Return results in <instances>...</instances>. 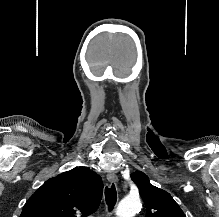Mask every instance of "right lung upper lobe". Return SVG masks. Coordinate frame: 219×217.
I'll list each match as a JSON object with an SVG mask.
<instances>
[{
	"label": "right lung upper lobe",
	"mask_w": 219,
	"mask_h": 217,
	"mask_svg": "<svg viewBox=\"0 0 219 217\" xmlns=\"http://www.w3.org/2000/svg\"><path fill=\"white\" fill-rule=\"evenodd\" d=\"M101 177L88 168H74L47 180L28 199L20 217H87L100 204Z\"/></svg>",
	"instance_id": "1"
}]
</instances>
